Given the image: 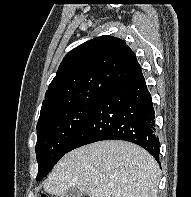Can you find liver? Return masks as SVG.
Returning <instances> with one entry per match:
<instances>
[{
	"label": "liver",
	"mask_w": 191,
	"mask_h": 197,
	"mask_svg": "<svg viewBox=\"0 0 191 197\" xmlns=\"http://www.w3.org/2000/svg\"><path fill=\"white\" fill-rule=\"evenodd\" d=\"M160 175L158 163L142 147L106 140L65 154L43 188L55 196L78 188L89 197H157Z\"/></svg>",
	"instance_id": "obj_1"
}]
</instances>
